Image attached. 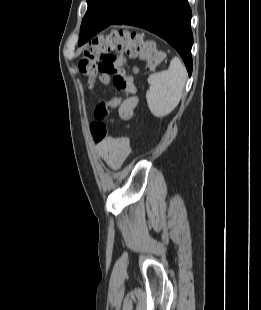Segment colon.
I'll use <instances>...</instances> for the list:
<instances>
[{
    "label": "colon",
    "mask_w": 261,
    "mask_h": 310,
    "mask_svg": "<svg viewBox=\"0 0 261 310\" xmlns=\"http://www.w3.org/2000/svg\"><path fill=\"white\" fill-rule=\"evenodd\" d=\"M124 55L144 60L149 70L156 69L163 60V55L153 44L144 42L135 32L113 30L108 34L97 37L86 47L78 61V68L82 74L94 79L99 76L105 81L108 75L113 76V83L123 94L135 91L132 77L126 72ZM121 104V97L110 101H102L95 108V120L90 130L95 140L103 139L108 134L105 119L110 111Z\"/></svg>",
    "instance_id": "colon-1"
}]
</instances>
